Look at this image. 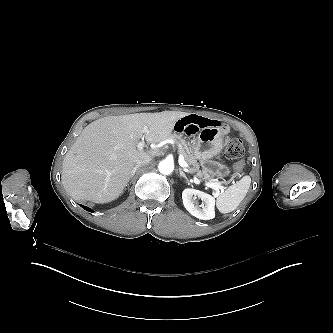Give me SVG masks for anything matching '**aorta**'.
<instances>
[{"mask_svg": "<svg viewBox=\"0 0 333 333\" xmlns=\"http://www.w3.org/2000/svg\"><path fill=\"white\" fill-rule=\"evenodd\" d=\"M158 170L163 175H170L174 170V163L171 160L164 159L158 165Z\"/></svg>", "mask_w": 333, "mask_h": 333, "instance_id": "1", "label": "aorta"}]
</instances>
